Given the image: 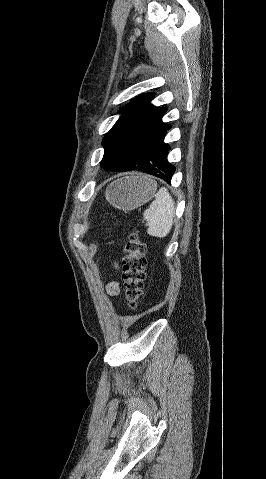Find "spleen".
Segmentation results:
<instances>
[{"mask_svg":"<svg viewBox=\"0 0 266 479\" xmlns=\"http://www.w3.org/2000/svg\"><path fill=\"white\" fill-rule=\"evenodd\" d=\"M175 217V203L165 187L159 189L155 200L143 213V219L148 226L150 236L164 238L173 226Z\"/></svg>","mask_w":266,"mask_h":479,"instance_id":"3e777b00","label":"spleen"}]
</instances>
